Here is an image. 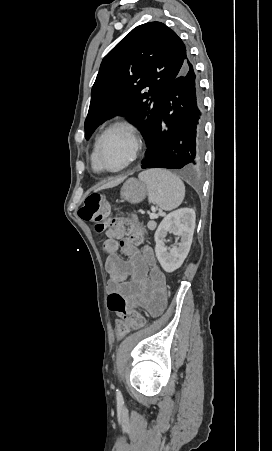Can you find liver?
Returning <instances> with one entry per match:
<instances>
[{"label": "liver", "mask_w": 272, "mask_h": 451, "mask_svg": "<svg viewBox=\"0 0 272 451\" xmlns=\"http://www.w3.org/2000/svg\"><path fill=\"white\" fill-rule=\"evenodd\" d=\"M123 180H125V178H115L113 182H108V184H105V188H113V186H117V184H120Z\"/></svg>", "instance_id": "1"}]
</instances>
